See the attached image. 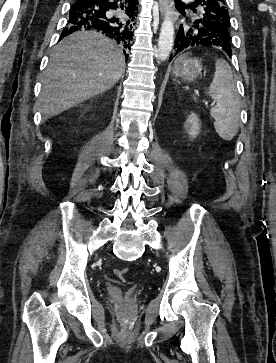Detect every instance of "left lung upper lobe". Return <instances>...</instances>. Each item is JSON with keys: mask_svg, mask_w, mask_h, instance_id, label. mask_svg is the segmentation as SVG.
Returning <instances> with one entry per match:
<instances>
[{"mask_svg": "<svg viewBox=\"0 0 276 363\" xmlns=\"http://www.w3.org/2000/svg\"><path fill=\"white\" fill-rule=\"evenodd\" d=\"M195 4H200L203 7V12L201 18L193 23L197 26H202L204 22L208 23L209 30L216 34V40L221 39L231 47L230 17L225 0H195Z\"/></svg>", "mask_w": 276, "mask_h": 363, "instance_id": "left-lung-upper-lobe-1", "label": "left lung upper lobe"}]
</instances>
